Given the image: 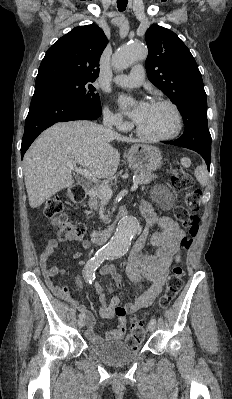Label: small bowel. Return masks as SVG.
Instances as JSON below:
<instances>
[{"label": "small bowel", "instance_id": "small-bowel-1", "mask_svg": "<svg viewBox=\"0 0 232 399\" xmlns=\"http://www.w3.org/2000/svg\"><path fill=\"white\" fill-rule=\"evenodd\" d=\"M141 209L146 215L147 226L135 239L134 246L129 253L125 274L137 292L143 290V277H146L150 281L149 288L137 298L134 304L121 306L119 298L116 295L113 296L110 304H107L106 295L102 287L98 283L95 284V290L101 303L100 316L102 318H111L117 315L120 318L118 330L105 333L111 345H119L121 337L127 332L126 313L149 308L155 304L164 286L169 266L179 258V244L184 236L183 231L174 221L158 219L154 206L150 202L142 201ZM153 226H158L161 231L149 238V229ZM148 241L155 246L156 251L151 254H144L143 248ZM82 248L88 250L91 248V244L89 242H82ZM56 253L57 242L51 240L48 243V250L42 261V266L45 269L47 285L52 292H57L51 278L57 274L58 270L57 268L47 270L46 260L55 256ZM72 257L75 260H79L81 259V253L75 252ZM100 274L101 276L114 279L117 283L118 291L120 293L124 291V283L112 268L104 267L100 270ZM79 282L80 279L77 278L75 285H78ZM110 292L113 293V290H110ZM78 308L84 315V320L79 323V329L94 345H102V336L94 330L96 322L95 314L86 306L80 305Z\"/></svg>", "mask_w": 232, "mask_h": 399}]
</instances>
